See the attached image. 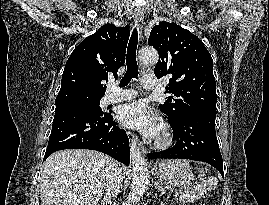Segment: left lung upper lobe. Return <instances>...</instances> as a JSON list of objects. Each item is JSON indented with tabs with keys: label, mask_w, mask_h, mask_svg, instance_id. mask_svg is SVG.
Segmentation results:
<instances>
[{
	"label": "left lung upper lobe",
	"mask_w": 269,
	"mask_h": 205,
	"mask_svg": "<svg viewBox=\"0 0 269 205\" xmlns=\"http://www.w3.org/2000/svg\"><path fill=\"white\" fill-rule=\"evenodd\" d=\"M148 44L159 52L155 76H171L166 87L171 95L160 104L170 123L191 112H216L213 60L202 41L179 25L163 21L152 29Z\"/></svg>",
	"instance_id": "obj_1"
}]
</instances>
